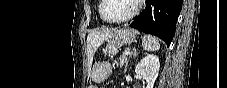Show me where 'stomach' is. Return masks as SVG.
Instances as JSON below:
<instances>
[{"instance_id": "0dacf381", "label": "stomach", "mask_w": 227, "mask_h": 88, "mask_svg": "<svg viewBox=\"0 0 227 88\" xmlns=\"http://www.w3.org/2000/svg\"><path fill=\"white\" fill-rule=\"evenodd\" d=\"M137 32L131 28L117 29L108 39L106 52L110 55L118 53L122 45L131 44L136 38ZM111 71V66L107 62H97L93 65L91 79L96 83H101L107 79Z\"/></svg>"}]
</instances>
